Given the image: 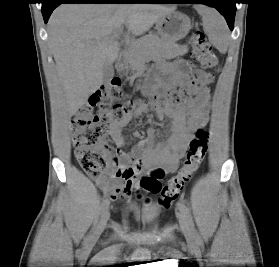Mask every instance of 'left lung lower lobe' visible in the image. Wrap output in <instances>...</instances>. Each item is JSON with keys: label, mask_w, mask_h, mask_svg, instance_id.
<instances>
[{"label": "left lung lower lobe", "mask_w": 279, "mask_h": 267, "mask_svg": "<svg viewBox=\"0 0 279 267\" xmlns=\"http://www.w3.org/2000/svg\"><path fill=\"white\" fill-rule=\"evenodd\" d=\"M145 3H200L208 4L216 8L226 19L227 24L233 30L236 12V0H148Z\"/></svg>", "instance_id": "1"}]
</instances>
